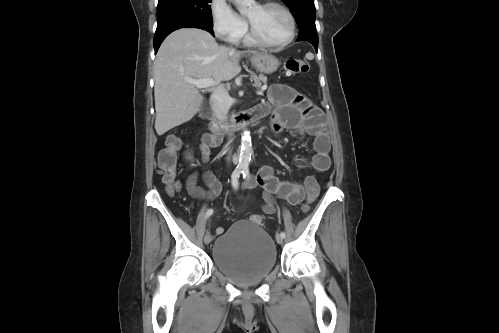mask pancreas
Returning a JSON list of instances; mask_svg holds the SVG:
<instances>
[{
  "label": "pancreas",
  "instance_id": "obj_1",
  "mask_svg": "<svg viewBox=\"0 0 499 333\" xmlns=\"http://www.w3.org/2000/svg\"><path fill=\"white\" fill-rule=\"evenodd\" d=\"M251 78L254 80V86L257 88H260L262 86V83L267 82V77L264 76L263 74L260 75H252Z\"/></svg>",
  "mask_w": 499,
  "mask_h": 333
}]
</instances>
